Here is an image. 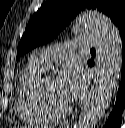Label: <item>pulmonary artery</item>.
Returning <instances> with one entry per match:
<instances>
[{
	"label": "pulmonary artery",
	"mask_w": 125,
	"mask_h": 128,
	"mask_svg": "<svg viewBox=\"0 0 125 128\" xmlns=\"http://www.w3.org/2000/svg\"><path fill=\"white\" fill-rule=\"evenodd\" d=\"M75 42L78 48L89 49L98 46L99 38L93 34H81ZM70 49V45L46 47L33 53L30 60L46 69L55 58L66 55Z\"/></svg>",
	"instance_id": "e3ab8cb5"
}]
</instances>
